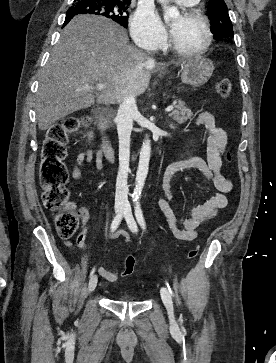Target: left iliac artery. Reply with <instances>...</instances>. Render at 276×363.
<instances>
[{"mask_svg": "<svg viewBox=\"0 0 276 363\" xmlns=\"http://www.w3.org/2000/svg\"><path fill=\"white\" fill-rule=\"evenodd\" d=\"M135 216H136V219H137L138 223L142 227V229L145 230L146 229V223H145V220H144V217H143V213H142L139 201H136ZM167 287H168L169 292L172 294V290H171L168 283H167Z\"/></svg>", "mask_w": 276, "mask_h": 363, "instance_id": "left-iliac-artery-1", "label": "left iliac artery"}]
</instances>
